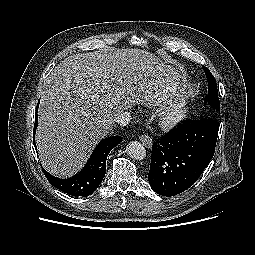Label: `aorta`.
<instances>
[{
	"mask_svg": "<svg viewBox=\"0 0 255 255\" xmlns=\"http://www.w3.org/2000/svg\"><path fill=\"white\" fill-rule=\"evenodd\" d=\"M127 154L135 160H143L146 157L145 147L138 141H131L126 146Z\"/></svg>",
	"mask_w": 255,
	"mask_h": 255,
	"instance_id": "762f6f07",
	"label": "aorta"
}]
</instances>
